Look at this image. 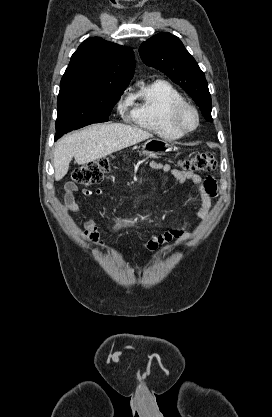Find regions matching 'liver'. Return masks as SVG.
Wrapping results in <instances>:
<instances>
[{"instance_id":"6515ba94","label":"liver","mask_w":272,"mask_h":417,"mask_svg":"<svg viewBox=\"0 0 272 417\" xmlns=\"http://www.w3.org/2000/svg\"><path fill=\"white\" fill-rule=\"evenodd\" d=\"M152 137L148 131L119 123L95 124L68 134L54 148L55 180L67 174L73 157L83 165Z\"/></svg>"}]
</instances>
